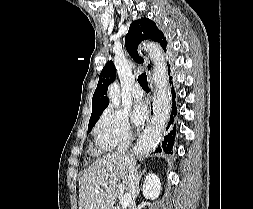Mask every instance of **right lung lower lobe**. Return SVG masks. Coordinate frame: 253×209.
<instances>
[{
	"instance_id": "1",
	"label": "right lung lower lobe",
	"mask_w": 253,
	"mask_h": 209,
	"mask_svg": "<svg viewBox=\"0 0 253 209\" xmlns=\"http://www.w3.org/2000/svg\"><path fill=\"white\" fill-rule=\"evenodd\" d=\"M170 83H172L171 78ZM172 96H173L172 112L166 126L165 134L162 136V142L161 144L158 145L155 152H162V150H164L166 153H171L172 147L174 145V138L176 135V125L174 124V118L177 114L174 89H172Z\"/></svg>"
}]
</instances>
